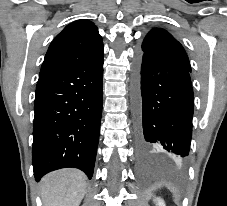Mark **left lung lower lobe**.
<instances>
[{
	"label": "left lung lower lobe",
	"mask_w": 227,
	"mask_h": 206,
	"mask_svg": "<svg viewBox=\"0 0 227 206\" xmlns=\"http://www.w3.org/2000/svg\"><path fill=\"white\" fill-rule=\"evenodd\" d=\"M135 90L139 153L160 151L176 159L187 157L194 110L189 70L137 53Z\"/></svg>",
	"instance_id": "left-lung-lower-lobe-1"
}]
</instances>
